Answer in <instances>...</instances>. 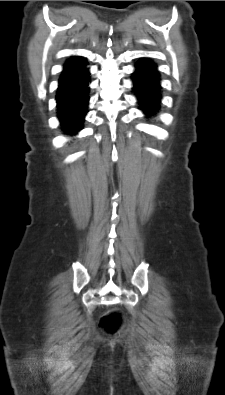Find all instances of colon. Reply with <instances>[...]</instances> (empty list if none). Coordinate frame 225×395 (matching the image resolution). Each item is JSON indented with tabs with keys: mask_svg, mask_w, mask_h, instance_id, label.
<instances>
[{
	"mask_svg": "<svg viewBox=\"0 0 225 395\" xmlns=\"http://www.w3.org/2000/svg\"><path fill=\"white\" fill-rule=\"evenodd\" d=\"M123 320V312L119 309H113L102 314L99 325L106 334H115L121 327Z\"/></svg>",
	"mask_w": 225,
	"mask_h": 395,
	"instance_id": "colon-1",
	"label": "colon"
}]
</instances>
